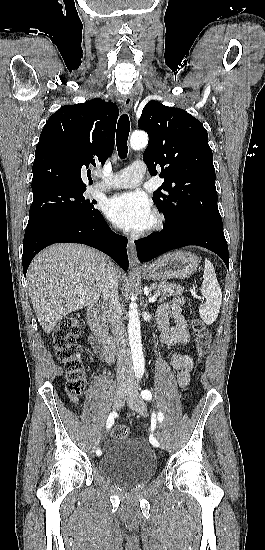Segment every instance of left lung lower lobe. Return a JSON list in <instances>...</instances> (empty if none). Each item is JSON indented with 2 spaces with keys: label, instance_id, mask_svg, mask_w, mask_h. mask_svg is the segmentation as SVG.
Masks as SVG:
<instances>
[{
  "label": "left lung lower lobe",
  "instance_id": "0a47b994",
  "mask_svg": "<svg viewBox=\"0 0 265 550\" xmlns=\"http://www.w3.org/2000/svg\"><path fill=\"white\" fill-rule=\"evenodd\" d=\"M138 259L147 262L169 250L197 245L219 255L229 268L228 246L223 227L200 219H185L165 226L156 235L135 241Z\"/></svg>",
  "mask_w": 265,
  "mask_h": 550
}]
</instances>
